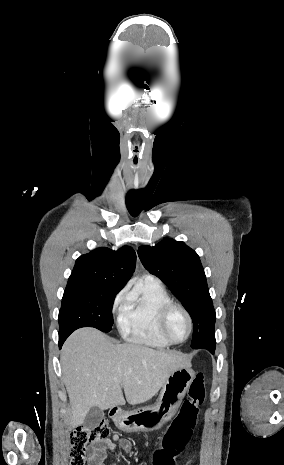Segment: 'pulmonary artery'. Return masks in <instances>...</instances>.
<instances>
[{"instance_id":"obj_1","label":"pulmonary artery","mask_w":284,"mask_h":465,"mask_svg":"<svg viewBox=\"0 0 284 465\" xmlns=\"http://www.w3.org/2000/svg\"><path fill=\"white\" fill-rule=\"evenodd\" d=\"M147 279H150V280H159L158 278H156V277H154V276H151V275L147 276Z\"/></svg>"}]
</instances>
